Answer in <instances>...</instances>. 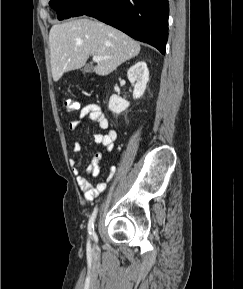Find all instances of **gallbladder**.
I'll list each match as a JSON object with an SVG mask.
<instances>
[{
  "instance_id": "bac80fb5",
  "label": "gallbladder",
  "mask_w": 243,
  "mask_h": 289,
  "mask_svg": "<svg viewBox=\"0 0 243 289\" xmlns=\"http://www.w3.org/2000/svg\"><path fill=\"white\" fill-rule=\"evenodd\" d=\"M83 73H90L93 72V66L91 65H86L83 69H82Z\"/></svg>"
}]
</instances>
